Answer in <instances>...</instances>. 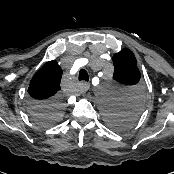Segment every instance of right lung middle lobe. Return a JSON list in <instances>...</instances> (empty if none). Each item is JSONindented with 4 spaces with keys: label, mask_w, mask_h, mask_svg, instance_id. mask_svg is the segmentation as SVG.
<instances>
[{
    "label": "right lung middle lobe",
    "mask_w": 174,
    "mask_h": 174,
    "mask_svg": "<svg viewBox=\"0 0 174 174\" xmlns=\"http://www.w3.org/2000/svg\"><path fill=\"white\" fill-rule=\"evenodd\" d=\"M63 109V99L55 97L45 102L32 101L29 107V114L36 123L49 126L61 119Z\"/></svg>",
    "instance_id": "1"
}]
</instances>
